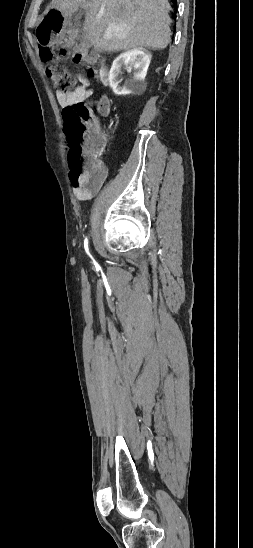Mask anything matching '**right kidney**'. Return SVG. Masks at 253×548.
Wrapping results in <instances>:
<instances>
[{
    "mask_svg": "<svg viewBox=\"0 0 253 548\" xmlns=\"http://www.w3.org/2000/svg\"><path fill=\"white\" fill-rule=\"evenodd\" d=\"M152 55L144 48H135L121 53L113 61L109 72V85L113 92L118 95H130L143 92L146 89L144 79L151 61ZM129 67L135 70L133 77L120 85L122 67Z\"/></svg>",
    "mask_w": 253,
    "mask_h": 548,
    "instance_id": "right-kidney-1",
    "label": "right kidney"
}]
</instances>
